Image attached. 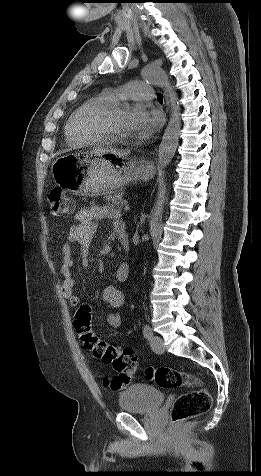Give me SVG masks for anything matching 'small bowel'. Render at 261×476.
<instances>
[{"instance_id": "obj_1", "label": "small bowel", "mask_w": 261, "mask_h": 476, "mask_svg": "<svg viewBox=\"0 0 261 476\" xmlns=\"http://www.w3.org/2000/svg\"><path fill=\"white\" fill-rule=\"evenodd\" d=\"M120 215L117 210L109 206H92L82 208L75 214L76 223L70 227L67 239L61 248L62 263L60 272L63 276L62 293L69 300L71 306H78L80 299L74 294L75 280L73 277V244H77L80 250L81 265L85 269L89 264V251L97 231V224L100 220L110 219L114 221L116 231L123 228L119 220ZM116 279L120 282L128 277V266L122 264L116 270ZM103 300L107 308L111 310L107 315L108 324L112 328H119L122 325L123 315L119 310L124 303V294L116 286H108L103 291Z\"/></svg>"}]
</instances>
